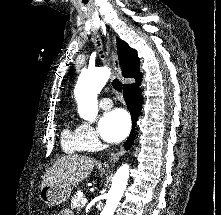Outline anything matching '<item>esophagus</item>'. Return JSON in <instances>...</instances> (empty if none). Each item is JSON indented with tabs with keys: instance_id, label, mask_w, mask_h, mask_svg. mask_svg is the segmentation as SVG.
I'll return each instance as SVG.
<instances>
[{
	"instance_id": "obj_1",
	"label": "esophagus",
	"mask_w": 221,
	"mask_h": 215,
	"mask_svg": "<svg viewBox=\"0 0 221 215\" xmlns=\"http://www.w3.org/2000/svg\"><path fill=\"white\" fill-rule=\"evenodd\" d=\"M105 48H106L107 55L110 56V58H111L112 66L115 70V73H116L117 77L119 79H122V73H121L120 65H119L117 57L113 55L112 43H111V40H110L109 36H107L105 38ZM124 154H125V150L121 149L117 153L112 154L109 157V159H110L111 162H116Z\"/></svg>"
}]
</instances>
